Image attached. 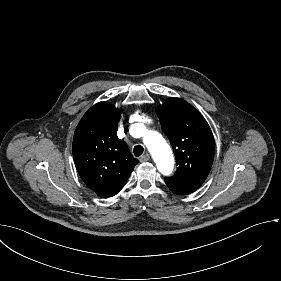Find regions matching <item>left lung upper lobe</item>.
Here are the masks:
<instances>
[{"instance_id":"left-lung-upper-lobe-1","label":"left lung upper lobe","mask_w":281,"mask_h":281,"mask_svg":"<svg viewBox=\"0 0 281 281\" xmlns=\"http://www.w3.org/2000/svg\"><path fill=\"white\" fill-rule=\"evenodd\" d=\"M163 132L173 147L178 168L165 182L170 190L185 195L207 178L214 159L215 142L203 116L180 98H170L157 108Z\"/></svg>"}]
</instances>
